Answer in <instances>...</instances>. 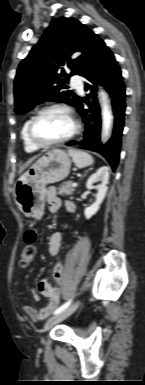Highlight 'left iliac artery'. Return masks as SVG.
I'll return each mask as SVG.
<instances>
[{"label":"left iliac artery","instance_id":"1","mask_svg":"<svg viewBox=\"0 0 145 385\" xmlns=\"http://www.w3.org/2000/svg\"><path fill=\"white\" fill-rule=\"evenodd\" d=\"M72 303V299L68 300L66 303H64L63 305H61L60 307H58L55 311H54V315L62 312L63 310H65L66 308H68L70 306V304Z\"/></svg>","mask_w":145,"mask_h":385}]
</instances>
